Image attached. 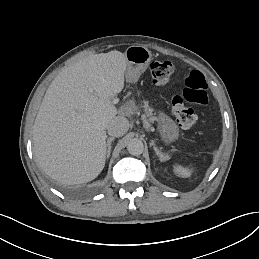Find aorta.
<instances>
[{"instance_id":"762f6f07","label":"aorta","mask_w":259,"mask_h":259,"mask_svg":"<svg viewBox=\"0 0 259 259\" xmlns=\"http://www.w3.org/2000/svg\"><path fill=\"white\" fill-rule=\"evenodd\" d=\"M127 150L131 155L137 156L142 154L144 150L143 142L139 139H132L127 145Z\"/></svg>"}]
</instances>
